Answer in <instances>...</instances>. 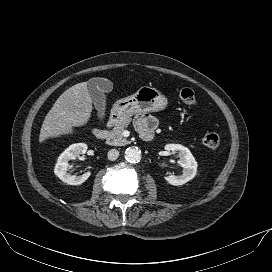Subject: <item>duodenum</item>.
I'll use <instances>...</instances> for the list:
<instances>
[{
    "mask_svg": "<svg viewBox=\"0 0 272 272\" xmlns=\"http://www.w3.org/2000/svg\"><path fill=\"white\" fill-rule=\"evenodd\" d=\"M119 118V115L118 114H114L107 122V125L106 127H102V128H96L93 132L94 136L97 138V139H105L108 135V129L110 127H112L115 122L117 121V119ZM153 138V133H149L147 135V140H150Z\"/></svg>",
    "mask_w": 272,
    "mask_h": 272,
    "instance_id": "410a0bca",
    "label": "duodenum"
}]
</instances>
